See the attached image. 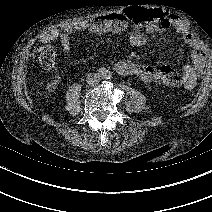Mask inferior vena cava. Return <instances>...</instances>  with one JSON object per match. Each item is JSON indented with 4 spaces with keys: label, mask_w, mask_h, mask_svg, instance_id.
Wrapping results in <instances>:
<instances>
[{
    "label": "inferior vena cava",
    "mask_w": 212,
    "mask_h": 212,
    "mask_svg": "<svg viewBox=\"0 0 212 212\" xmlns=\"http://www.w3.org/2000/svg\"><path fill=\"white\" fill-rule=\"evenodd\" d=\"M101 78L97 74H90L88 78V84L94 86L96 84H99Z\"/></svg>",
    "instance_id": "obj_1"
}]
</instances>
